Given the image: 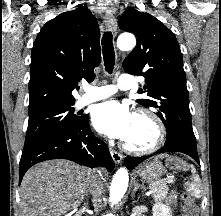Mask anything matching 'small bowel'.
I'll use <instances>...</instances> for the list:
<instances>
[{"label":"small bowel","instance_id":"c3829d8e","mask_svg":"<svg viewBox=\"0 0 221 216\" xmlns=\"http://www.w3.org/2000/svg\"><path fill=\"white\" fill-rule=\"evenodd\" d=\"M174 200H175V196L172 194L169 201H170L171 203H173Z\"/></svg>","mask_w":221,"mask_h":216}]
</instances>
